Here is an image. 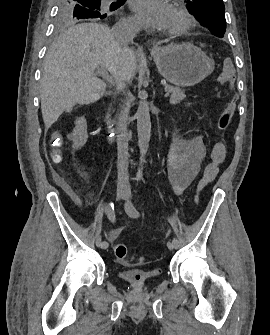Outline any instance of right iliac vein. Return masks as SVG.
Masks as SVG:
<instances>
[{"label":"right iliac vein","instance_id":"1","mask_svg":"<svg viewBox=\"0 0 270 335\" xmlns=\"http://www.w3.org/2000/svg\"><path fill=\"white\" fill-rule=\"evenodd\" d=\"M125 195H126V188H125V186L119 185L117 187V199L118 200L124 199ZM101 243H102V238H101V236H98L96 238L95 244H96L97 247H101Z\"/></svg>","mask_w":270,"mask_h":335}]
</instances>
